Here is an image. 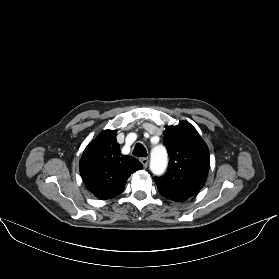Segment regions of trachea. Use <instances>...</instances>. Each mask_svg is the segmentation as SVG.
<instances>
[{"mask_svg": "<svg viewBox=\"0 0 279 279\" xmlns=\"http://www.w3.org/2000/svg\"><path fill=\"white\" fill-rule=\"evenodd\" d=\"M133 155L138 157H147L146 148L141 143H137L133 150Z\"/></svg>", "mask_w": 279, "mask_h": 279, "instance_id": "1", "label": "trachea"}]
</instances>
